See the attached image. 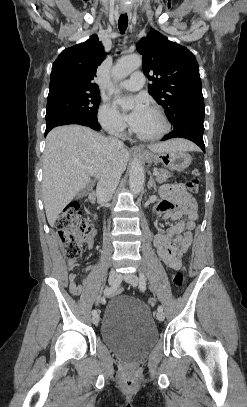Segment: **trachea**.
I'll list each match as a JSON object with an SVG mask.
<instances>
[{"label": "trachea", "instance_id": "trachea-1", "mask_svg": "<svg viewBox=\"0 0 247 407\" xmlns=\"http://www.w3.org/2000/svg\"><path fill=\"white\" fill-rule=\"evenodd\" d=\"M128 26V16L127 14H121L118 21L119 30L124 33Z\"/></svg>", "mask_w": 247, "mask_h": 407}]
</instances>
